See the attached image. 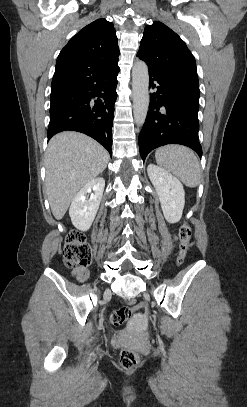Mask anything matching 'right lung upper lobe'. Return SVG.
Masks as SVG:
<instances>
[{"label":"right lung upper lobe","instance_id":"1","mask_svg":"<svg viewBox=\"0 0 247 407\" xmlns=\"http://www.w3.org/2000/svg\"><path fill=\"white\" fill-rule=\"evenodd\" d=\"M119 48L114 25L98 19L81 29L60 52L51 90H70L93 73L118 63Z\"/></svg>","mask_w":247,"mask_h":407}]
</instances>
